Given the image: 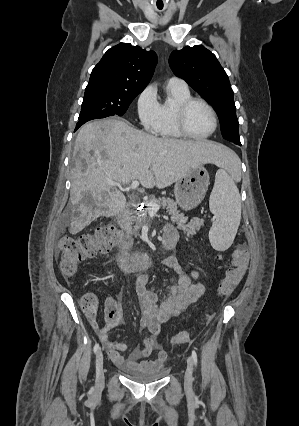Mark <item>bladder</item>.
Returning <instances> with one entry per match:
<instances>
[{
  "instance_id": "obj_1",
  "label": "bladder",
  "mask_w": 299,
  "mask_h": 426,
  "mask_svg": "<svg viewBox=\"0 0 299 426\" xmlns=\"http://www.w3.org/2000/svg\"><path fill=\"white\" fill-rule=\"evenodd\" d=\"M124 374L132 381L138 383H151L164 378L167 374L165 367L154 369H125Z\"/></svg>"
}]
</instances>
